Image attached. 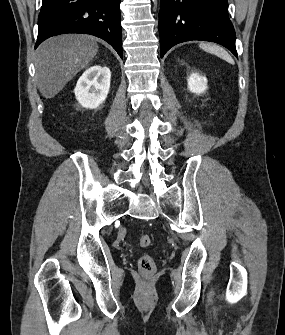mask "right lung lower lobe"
Returning <instances> with one entry per match:
<instances>
[{"instance_id":"obj_1","label":"right lung lower lobe","mask_w":285,"mask_h":335,"mask_svg":"<svg viewBox=\"0 0 285 335\" xmlns=\"http://www.w3.org/2000/svg\"><path fill=\"white\" fill-rule=\"evenodd\" d=\"M35 48L49 37L90 34L107 41L123 58L121 0H42Z\"/></svg>"}]
</instances>
